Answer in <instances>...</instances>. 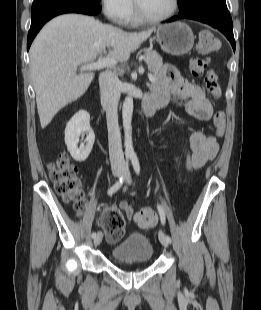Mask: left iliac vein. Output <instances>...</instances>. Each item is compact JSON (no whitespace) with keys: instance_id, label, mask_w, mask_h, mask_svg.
Here are the masks:
<instances>
[{"instance_id":"obj_1","label":"left iliac vein","mask_w":261,"mask_h":310,"mask_svg":"<svg viewBox=\"0 0 261 310\" xmlns=\"http://www.w3.org/2000/svg\"><path fill=\"white\" fill-rule=\"evenodd\" d=\"M127 183L130 184L131 183V179H130V174L128 173V177H127ZM159 240L161 242V244L164 246V247H168L169 246V243L167 241V238H166V235L163 233V232H159Z\"/></svg>"}]
</instances>
